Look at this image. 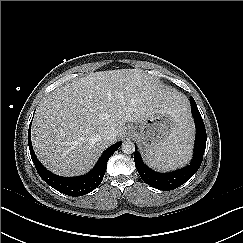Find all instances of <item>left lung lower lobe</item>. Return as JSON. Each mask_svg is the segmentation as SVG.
I'll return each mask as SVG.
<instances>
[{
    "instance_id": "left-lung-lower-lobe-1",
    "label": "left lung lower lobe",
    "mask_w": 243,
    "mask_h": 243,
    "mask_svg": "<svg viewBox=\"0 0 243 243\" xmlns=\"http://www.w3.org/2000/svg\"><path fill=\"white\" fill-rule=\"evenodd\" d=\"M190 104L196 125V140L194 145L193 159L188 166L170 173L155 172L144 164L140 154L137 151V148H135L134 162L136 169L142 180L151 187L164 191L176 189L187 182L197 172L202 163L207 140L206 130L193 97H190Z\"/></svg>"
}]
</instances>
